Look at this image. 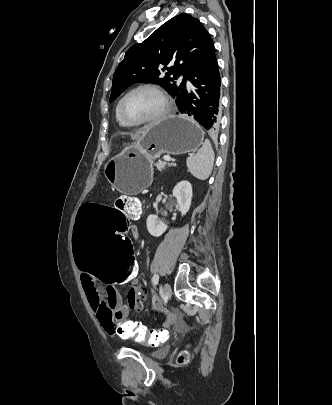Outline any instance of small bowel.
Listing matches in <instances>:
<instances>
[{"instance_id":"small-bowel-1","label":"small bowel","mask_w":332,"mask_h":405,"mask_svg":"<svg viewBox=\"0 0 332 405\" xmlns=\"http://www.w3.org/2000/svg\"><path fill=\"white\" fill-rule=\"evenodd\" d=\"M139 217L140 213L130 216L134 220ZM130 233L133 234L134 240L138 238L139 233L136 226L131 227ZM136 266L138 265L136 264ZM79 270L83 289L100 325L109 335L117 336V331L120 329L117 324H121L124 322V318H128L129 310L140 311L142 306H146V297H138V275H136L135 281L128 282L129 293L125 298L115 287H106L101 290L98 281L95 280V275H82V268ZM131 295L133 297H130ZM154 305L160 307L159 301L154 300Z\"/></svg>"}]
</instances>
